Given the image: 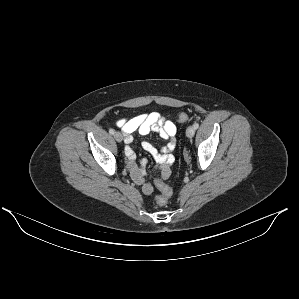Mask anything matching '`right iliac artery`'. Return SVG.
I'll use <instances>...</instances> for the list:
<instances>
[{
	"instance_id": "1",
	"label": "right iliac artery",
	"mask_w": 299,
	"mask_h": 299,
	"mask_svg": "<svg viewBox=\"0 0 299 299\" xmlns=\"http://www.w3.org/2000/svg\"><path fill=\"white\" fill-rule=\"evenodd\" d=\"M109 133L113 135L115 133V131L113 129H110Z\"/></svg>"
}]
</instances>
